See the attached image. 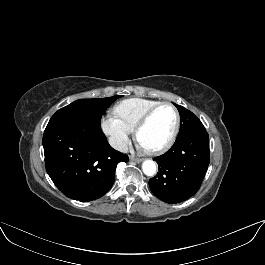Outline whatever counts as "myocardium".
<instances>
[{"mask_svg": "<svg viewBox=\"0 0 265 265\" xmlns=\"http://www.w3.org/2000/svg\"><path fill=\"white\" fill-rule=\"evenodd\" d=\"M162 107H170L173 110V112L175 114V125H174V129H173L170 137L168 138V140L164 144H162L159 147L153 148V149H146V151L152 155H156V154H160V153L165 152L175 142V140L178 136V133L180 131V126H181V116H180V113H179L177 107L170 102H160V103L154 105L153 107H151L149 110H147L143 114V116L139 119V121L137 122V124L134 128L135 137H136V139H138V135H139L141 129L149 122L151 117Z\"/></svg>", "mask_w": 265, "mask_h": 265, "instance_id": "1", "label": "myocardium"}]
</instances>
